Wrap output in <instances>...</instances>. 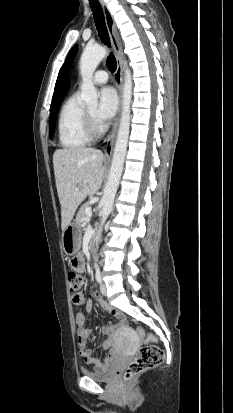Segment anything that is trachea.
<instances>
[{
    "label": "trachea",
    "mask_w": 233,
    "mask_h": 413,
    "mask_svg": "<svg viewBox=\"0 0 233 413\" xmlns=\"http://www.w3.org/2000/svg\"><path fill=\"white\" fill-rule=\"evenodd\" d=\"M89 4L93 12V18L99 37L105 45L110 46V39L106 28L102 7L98 0H89ZM107 67L111 72H114L117 68L115 56L112 54H110L107 58Z\"/></svg>",
    "instance_id": "trachea-1"
}]
</instances>
